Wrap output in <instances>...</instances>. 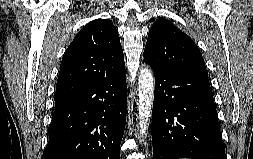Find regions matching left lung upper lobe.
<instances>
[{"mask_svg":"<svg viewBox=\"0 0 253 159\" xmlns=\"http://www.w3.org/2000/svg\"><path fill=\"white\" fill-rule=\"evenodd\" d=\"M144 60L152 68L208 76L204 60L194 41L164 18L155 21L149 31Z\"/></svg>","mask_w":253,"mask_h":159,"instance_id":"obj_1","label":"left lung upper lobe"}]
</instances>
